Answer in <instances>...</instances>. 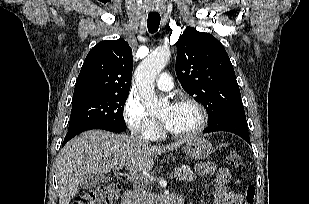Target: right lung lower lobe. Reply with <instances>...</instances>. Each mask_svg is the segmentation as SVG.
<instances>
[{
    "mask_svg": "<svg viewBox=\"0 0 309 204\" xmlns=\"http://www.w3.org/2000/svg\"><path fill=\"white\" fill-rule=\"evenodd\" d=\"M91 129H104V130H108V131H112V132H118V131H115V130H111V129H105V128H102V127H98V126H84V127H80V128H77V129H74L72 131H69L67 134H66V137L64 138V142L62 144V146L67 143L71 138H73L74 136H76L77 134L81 133V132H84V131H87V130H91Z\"/></svg>",
    "mask_w": 309,
    "mask_h": 204,
    "instance_id": "obj_1",
    "label": "right lung lower lobe"
}]
</instances>
